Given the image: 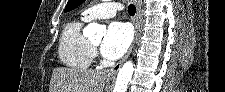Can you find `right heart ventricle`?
I'll use <instances>...</instances> for the list:
<instances>
[{
    "instance_id": "e07e8e85",
    "label": "right heart ventricle",
    "mask_w": 225,
    "mask_h": 92,
    "mask_svg": "<svg viewBox=\"0 0 225 92\" xmlns=\"http://www.w3.org/2000/svg\"><path fill=\"white\" fill-rule=\"evenodd\" d=\"M86 21L83 17L73 19L62 30L58 55L69 67L87 69L93 60L94 50L82 31Z\"/></svg>"
}]
</instances>
